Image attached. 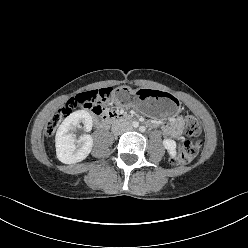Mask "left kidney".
<instances>
[{"label": "left kidney", "instance_id": "obj_1", "mask_svg": "<svg viewBox=\"0 0 248 248\" xmlns=\"http://www.w3.org/2000/svg\"><path fill=\"white\" fill-rule=\"evenodd\" d=\"M163 146L172 157L176 156V142L172 139H164Z\"/></svg>", "mask_w": 248, "mask_h": 248}]
</instances>
